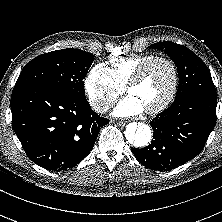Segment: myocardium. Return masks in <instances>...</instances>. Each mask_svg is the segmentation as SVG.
Wrapping results in <instances>:
<instances>
[{"instance_id": "obj_1", "label": "myocardium", "mask_w": 222, "mask_h": 222, "mask_svg": "<svg viewBox=\"0 0 222 222\" xmlns=\"http://www.w3.org/2000/svg\"><path fill=\"white\" fill-rule=\"evenodd\" d=\"M158 62L165 63L170 67L172 74H173V81H172L171 89H170L168 95L165 97V99L157 106H155L153 108L146 109V112L149 114H156V113H159V112L165 110L170 105V103L173 101V99L177 93L178 86H179V71H178V67H177L176 63L173 60H171L170 58L163 57V56H156V57L148 60L147 62L143 63L135 71V73L131 76V78L129 79V81L127 82V85H126L127 91L130 92L134 85H136L142 81V79L144 78L148 69L152 65H154L155 63H158Z\"/></svg>"}]
</instances>
